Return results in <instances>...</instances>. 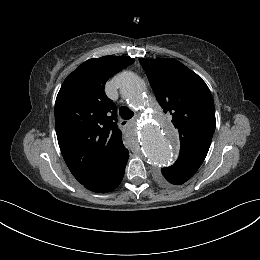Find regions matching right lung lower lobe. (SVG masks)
I'll list each match as a JSON object with an SVG mask.
<instances>
[{"instance_id": "obj_1", "label": "right lung lower lobe", "mask_w": 260, "mask_h": 260, "mask_svg": "<svg viewBox=\"0 0 260 260\" xmlns=\"http://www.w3.org/2000/svg\"><path fill=\"white\" fill-rule=\"evenodd\" d=\"M127 163V162H126ZM126 163H124L116 172L110 175L107 178L98 180L96 182L84 185L88 190L97 193H107L113 191L118 187L121 183L126 167Z\"/></svg>"}]
</instances>
